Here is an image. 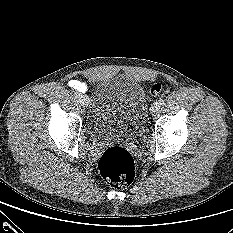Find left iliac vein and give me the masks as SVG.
<instances>
[{"label":"left iliac vein","instance_id":"4c4485c4","mask_svg":"<svg viewBox=\"0 0 233 233\" xmlns=\"http://www.w3.org/2000/svg\"><path fill=\"white\" fill-rule=\"evenodd\" d=\"M160 103H159V101H156V102H154L152 105H151V107H150V112H151V114H156L157 113V111L159 110V108H160Z\"/></svg>","mask_w":233,"mask_h":233}]
</instances>
